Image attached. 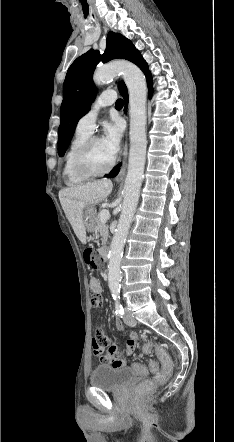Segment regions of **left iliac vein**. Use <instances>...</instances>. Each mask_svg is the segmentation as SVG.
I'll use <instances>...</instances> for the list:
<instances>
[{"instance_id":"obj_1","label":"left iliac vein","mask_w":234,"mask_h":442,"mask_svg":"<svg viewBox=\"0 0 234 442\" xmlns=\"http://www.w3.org/2000/svg\"><path fill=\"white\" fill-rule=\"evenodd\" d=\"M123 320L126 325L131 326V327H133L137 324L136 320L131 316L130 313H126L123 317Z\"/></svg>"}]
</instances>
